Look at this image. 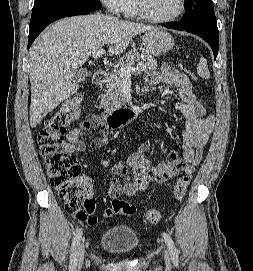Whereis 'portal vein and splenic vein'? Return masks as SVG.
I'll list each match as a JSON object with an SVG mask.
<instances>
[{
    "instance_id": "portal-vein-and-splenic-vein-1",
    "label": "portal vein and splenic vein",
    "mask_w": 253,
    "mask_h": 271,
    "mask_svg": "<svg viewBox=\"0 0 253 271\" xmlns=\"http://www.w3.org/2000/svg\"><path fill=\"white\" fill-rule=\"evenodd\" d=\"M103 53H104L103 49L97 50L92 53V57L99 58L103 55ZM144 68H145L144 65L141 63L138 64L136 67H122L121 66L119 67V73L122 78H127L131 76L132 73L136 71H142Z\"/></svg>"
}]
</instances>
